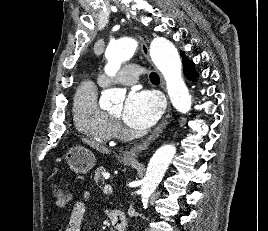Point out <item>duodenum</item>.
<instances>
[{
	"label": "duodenum",
	"instance_id": "obj_1",
	"mask_svg": "<svg viewBox=\"0 0 268 231\" xmlns=\"http://www.w3.org/2000/svg\"><path fill=\"white\" fill-rule=\"evenodd\" d=\"M111 222L113 227L118 231H125L127 228V217L121 210H115L111 214Z\"/></svg>",
	"mask_w": 268,
	"mask_h": 231
}]
</instances>
